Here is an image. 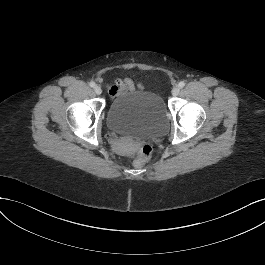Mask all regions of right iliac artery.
<instances>
[{"mask_svg":"<svg viewBox=\"0 0 265 265\" xmlns=\"http://www.w3.org/2000/svg\"><path fill=\"white\" fill-rule=\"evenodd\" d=\"M89 85H90V87H95V82H93V81H91L90 83H89Z\"/></svg>","mask_w":265,"mask_h":265,"instance_id":"right-iliac-artery-1","label":"right iliac artery"}]
</instances>
